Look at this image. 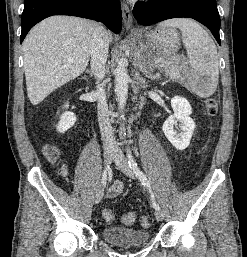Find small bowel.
<instances>
[{
  "mask_svg": "<svg viewBox=\"0 0 247 257\" xmlns=\"http://www.w3.org/2000/svg\"><path fill=\"white\" fill-rule=\"evenodd\" d=\"M58 150V149H57ZM52 163L58 164L59 163V151H58V155L53 158V159H49ZM60 173L62 175V177H66L67 176V169L64 166L60 167ZM123 189V185L121 182L116 181L108 190V197L109 198H114L116 196H118L121 191Z\"/></svg>",
  "mask_w": 247,
  "mask_h": 257,
  "instance_id": "small-bowel-1",
  "label": "small bowel"
}]
</instances>
